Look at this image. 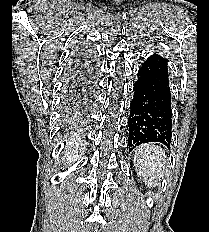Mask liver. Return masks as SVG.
<instances>
[{"mask_svg": "<svg viewBox=\"0 0 209 232\" xmlns=\"http://www.w3.org/2000/svg\"><path fill=\"white\" fill-rule=\"evenodd\" d=\"M83 149V144L79 139L71 138L69 143L66 144L65 148V158L66 163L70 164L71 162L77 161L81 157Z\"/></svg>", "mask_w": 209, "mask_h": 232, "instance_id": "liver-1", "label": "liver"}]
</instances>
